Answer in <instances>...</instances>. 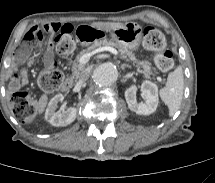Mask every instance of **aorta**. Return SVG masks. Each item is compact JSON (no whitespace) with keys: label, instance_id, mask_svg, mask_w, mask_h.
<instances>
[{"label":"aorta","instance_id":"1","mask_svg":"<svg viewBox=\"0 0 215 183\" xmlns=\"http://www.w3.org/2000/svg\"><path fill=\"white\" fill-rule=\"evenodd\" d=\"M93 81L99 86H109L118 78L117 67L112 63H102L93 71Z\"/></svg>","mask_w":215,"mask_h":183}]
</instances>
